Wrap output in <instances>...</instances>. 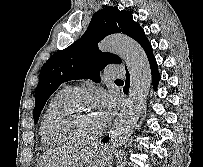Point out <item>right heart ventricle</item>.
I'll return each mask as SVG.
<instances>
[{
    "label": "right heart ventricle",
    "mask_w": 203,
    "mask_h": 167,
    "mask_svg": "<svg viewBox=\"0 0 203 167\" xmlns=\"http://www.w3.org/2000/svg\"><path fill=\"white\" fill-rule=\"evenodd\" d=\"M75 90L69 86L61 88L57 93L49 100L43 116L40 122L39 134L42 143L47 147H56L66 144V142L53 137L47 130V120L51 113L66 100Z\"/></svg>",
    "instance_id": "obj_1"
}]
</instances>
